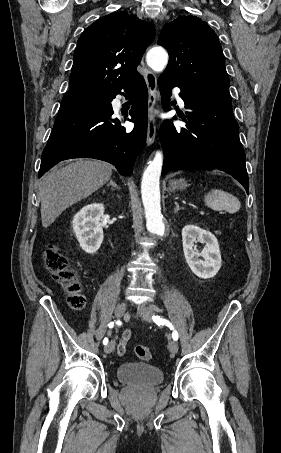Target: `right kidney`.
<instances>
[{
	"mask_svg": "<svg viewBox=\"0 0 281 453\" xmlns=\"http://www.w3.org/2000/svg\"><path fill=\"white\" fill-rule=\"evenodd\" d=\"M103 212L104 204L93 202V204H87L79 212H76L72 220L77 241L80 243L81 249L89 255L97 253L103 241V222H100Z\"/></svg>",
	"mask_w": 281,
	"mask_h": 453,
	"instance_id": "obj_1",
	"label": "right kidney"
}]
</instances>
